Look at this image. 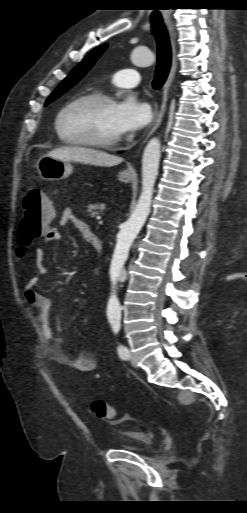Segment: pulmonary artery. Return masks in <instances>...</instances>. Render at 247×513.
Listing matches in <instances>:
<instances>
[{
	"instance_id": "pulmonary-artery-1",
	"label": "pulmonary artery",
	"mask_w": 247,
	"mask_h": 513,
	"mask_svg": "<svg viewBox=\"0 0 247 513\" xmlns=\"http://www.w3.org/2000/svg\"><path fill=\"white\" fill-rule=\"evenodd\" d=\"M113 82L119 87L132 88L140 83V76L135 69H123L113 75Z\"/></svg>"
}]
</instances>
